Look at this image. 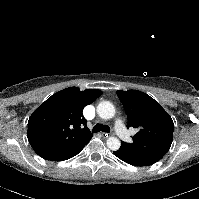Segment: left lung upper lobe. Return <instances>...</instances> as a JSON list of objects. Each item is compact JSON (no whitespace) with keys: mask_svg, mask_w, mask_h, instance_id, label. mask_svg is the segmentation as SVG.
Segmentation results:
<instances>
[{"mask_svg":"<svg viewBox=\"0 0 199 199\" xmlns=\"http://www.w3.org/2000/svg\"><path fill=\"white\" fill-rule=\"evenodd\" d=\"M128 116L127 127L137 128L129 149L160 160L172 144L174 123L168 113L144 92L117 91Z\"/></svg>","mask_w":199,"mask_h":199,"instance_id":"obj_1","label":"left lung upper lobe"}]
</instances>
